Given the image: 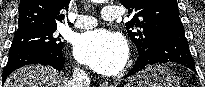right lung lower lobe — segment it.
Returning a JSON list of instances; mask_svg holds the SVG:
<instances>
[{
	"instance_id": "1",
	"label": "right lung lower lobe",
	"mask_w": 205,
	"mask_h": 87,
	"mask_svg": "<svg viewBox=\"0 0 205 87\" xmlns=\"http://www.w3.org/2000/svg\"><path fill=\"white\" fill-rule=\"evenodd\" d=\"M64 59L62 52L55 53L37 47L10 48L8 62L2 73L3 83L10 73L28 64L51 65L57 70H62Z\"/></svg>"
}]
</instances>
